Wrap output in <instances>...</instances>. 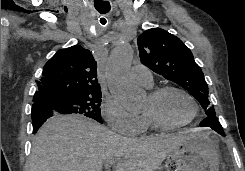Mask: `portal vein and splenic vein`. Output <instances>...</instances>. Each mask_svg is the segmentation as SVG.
Returning a JSON list of instances; mask_svg holds the SVG:
<instances>
[{"label":"portal vein and splenic vein","mask_w":245,"mask_h":171,"mask_svg":"<svg viewBox=\"0 0 245 171\" xmlns=\"http://www.w3.org/2000/svg\"><path fill=\"white\" fill-rule=\"evenodd\" d=\"M115 162H116V160H114V159L107 160V161L105 162V166H106L107 168H109V167H111Z\"/></svg>","instance_id":"portal-vein-and-splenic-vein-1"}]
</instances>
